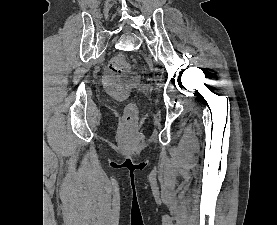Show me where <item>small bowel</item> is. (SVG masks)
Returning a JSON list of instances; mask_svg holds the SVG:
<instances>
[{
    "instance_id": "obj_1",
    "label": "small bowel",
    "mask_w": 277,
    "mask_h": 225,
    "mask_svg": "<svg viewBox=\"0 0 277 225\" xmlns=\"http://www.w3.org/2000/svg\"><path fill=\"white\" fill-rule=\"evenodd\" d=\"M105 83L108 87H113L115 85V79L108 74L105 76Z\"/></svg>"
}]
</instances>
